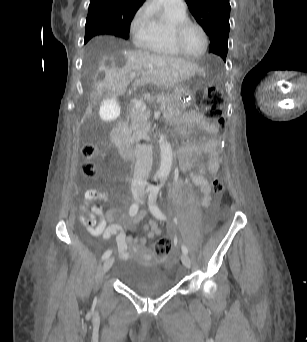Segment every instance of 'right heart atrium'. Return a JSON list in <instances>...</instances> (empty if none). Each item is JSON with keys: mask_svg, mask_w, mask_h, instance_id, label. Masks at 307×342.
<instances>
[{"mask_svg": "<svg viewBox=\"0 0 307 342\" xmlns=\"http://www.w3.org/2000/svg\"><path fill=\"white\" fill-rule=\"evenodd\" d=\"M128 36L133 44L143 42L153 36V22L143 9L138 10L130 19Z\"/></svg>", "mask_w": 307, "mask_h": 342, "instance_id": "obj_1", "label": "right heart atrium"}]
</instances>
